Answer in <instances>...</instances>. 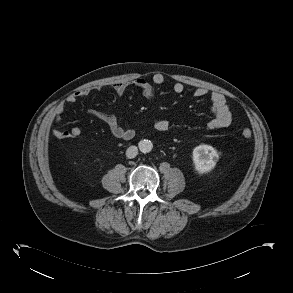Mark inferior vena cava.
Listing matches in <instances>:
<instances>
[{
    "mask_svg": "<svg viewBox=\"0 0 293 293\" xmlns=\"http://www.w3.org/2000/svg\"><path fill=\"white\" fill-rule=\"evenodd\" d=\"M137 154H138V148L136 146H130L126 150V156L129 159L136 157Z\"/></svg>",
    "mask_w": 293,
    "mask_h": 293,
    "instance_id": "602c4592",
    "label": "inferior vena cava"
}]
</instances>
